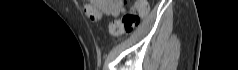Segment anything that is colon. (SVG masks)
<instances>
[{
	"mask_svg": "<svg viewBox=\"0 0 238 70\" xmlns=\"http://www.w3.org/2000/svg\"><path fill=\"white\" fill-rule=\"evenodd\" d=\"M148 12V5L145 0H138L134 3L133 11L124 15L121 19L113 22L110 26L112 34L119 35L123 33H129L139 24V15H146ZM92 17H96L97 14L91 11Z\"/></svg>",
	"mask_w": 238,
	"mask_h": 70,
	"instance_id": "1",
	"label": "colon"
}]
</instances>
